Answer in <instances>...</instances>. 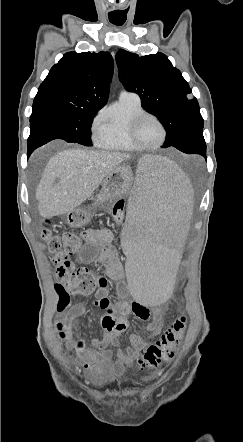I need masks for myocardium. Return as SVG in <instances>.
<instances>
[{
    "label": "myocardium",
    "mask_w": 243,
    "mask_h": 442,
    "mask_svg": "<svg viewBox=\"0 0 243 442\" xmlns=\"http://www.w3.org/2000/svg\"><path fill=\"white\" fill-rule=\"evenodd\" d=\"M145 118H153L159 124V126L161 127V130H162L161 140L153 146L144 145L143 143H141L139 141L138 136H137L138 125ZM129 137H130L131 142L140 150H156V149L160 148L165 143V141L167 139V128H166L164 122L162 121V119L158 115H156L152 112L145 111V112L138 114L131 121L130 128H129Z\"/></svg>",
    "instance_id": "myocardium-1"
}]
</instances>
